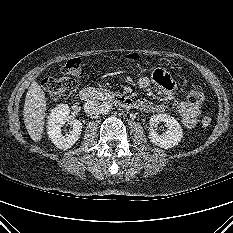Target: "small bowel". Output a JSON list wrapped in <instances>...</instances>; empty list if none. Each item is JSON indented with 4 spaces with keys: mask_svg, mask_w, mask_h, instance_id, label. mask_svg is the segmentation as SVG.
<instances>
[{
    "mask_svg": "<svg viewBox=\"0 0 233 233\" xmlns=\"http://www.w3.org/2000/svg\"><path fill=\"white\" fill-rule=\"evenodd\" d=\"M152 82L162 89L168 99L173 96L177 87L173 77L163 68L156 69L152 73L151 78L147 76L140 77L138 86L141 89H146ZM137 107L144 112H163L168 109V104L166 102L154 103L146 99H140L137 102ZM175 110L184 126L193 128L196 125L197 117L200 113L198 105L191 104L188 101H178L175 104Z\"/></svg>",
    "mask_w": 233,
    "mask_h": 233,
    "instance_id": "1",
    "label": "small bowel"
}]
</instances>
